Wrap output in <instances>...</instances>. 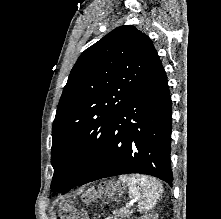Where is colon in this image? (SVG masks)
<instances>
[{
    "label": "colon",
    "instance_id": "colon-1",
    "mask_svg": "<svg viewBox=\"0 0 221 219\" xmlns=\"http://www.w3.org/2000/svg\"><path fill=\"white\" fill-rule=\"evenodd\" d=\"M113 187L111 184L107 185H102L98 191H99V197L102 198L103 200L108 199V197L111 196L112 194ZM95 193V190L91 191L88 190L86 191V195H93ZM65 219H87L86 214L83 211L79 210H69L65 214Z\"/></svg>",
    "mask_w": 221,
    "mask_h": 219
}]
</instances>
